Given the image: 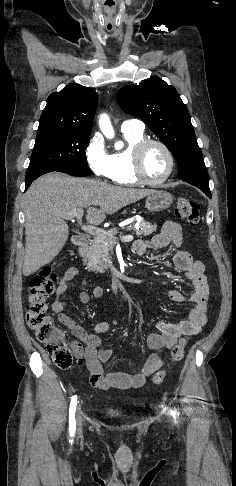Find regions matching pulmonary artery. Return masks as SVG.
<instances>
[{
	"label": "pulmonary artery",
	"mask_w": 236,
	"mask_h": 486,
	"mask_svg": "<svg viewBox=\"0 0 236 486\" xmlns=\"http://www.w3.org/2000/svg\"><path fill=\"white\" fill-rule=\"evenodd\" d=\"M145 128L144 123L139 119H127L121 125L122 131L134 130L143 131Z\"/></svg>",
	"instance_id": "1"
}]
</instances>
